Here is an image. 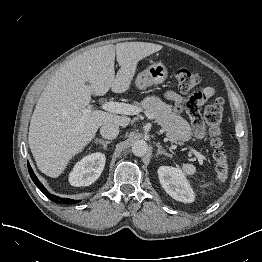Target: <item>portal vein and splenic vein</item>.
I'll list each match as a JSON object with an SVG mask.
<instances>
[{
  "instance_id": "portal-vein-and-splenic-vein-1",
  "label": "portal vein and splenic vein",
  "mask_w": 262,
  "mask_h": 262,
  "mask_svg": "<svg viewBox=\"0 0 262 262\" xmlns=\"http://www.w3.org/2000/svg\"><path fill=\"white\" fill-rule=\"evenodd\" d=\"M101 108L103 110L109 111L111 113H116V114H124V115H135L137 112L140 111V109L136 106L130 105V104H125V103H120V102H105L101 105ZM91 110V107L88 109L84 110V114L86 115L89 111ZM191 153H193L199 160L202 159V155L195 151L192 148H189Z\"/></svg>"
}]
</instances>
